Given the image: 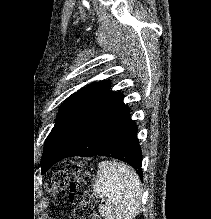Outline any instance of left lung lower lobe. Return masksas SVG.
<instances>
[{
  "mask_svg": "<svg viewBox=\"0 0 211 219\" xmlns=\"http://www.w3.org/2000/svg\"><path fill=\"white\" fill-rule=\"evenodd\" d=\"M122 99V95L108 91L98 100L72 126L51 157L42 162V172L64 158L99 155L127 162L142 179L137 126Z\"/></svg>",
  "mask_w": 211,
  "mask_h": 219,
  "instance_id": "obj_1",
  "label": "left lung lower lobe"
}]
</instances>
